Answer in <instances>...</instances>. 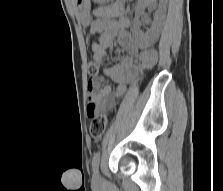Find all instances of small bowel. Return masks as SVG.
Masks as SVG:
<instances>
[{
    "mask_svg": "<svg viewBox=\"0 0 223 191\" xmlns=\"http://www.w3.org/2000/svg\"><path fill=\"white\" fill-rule=\"evenodd\" d=\"M119 12L118 6L97 8L95 14L97 18L92 22L90 32L92 35L98 34V43L92 45L94 60L101 65L108 54V49L114 46L117 38L120 47L127 55L117 64L103 68V72L112 81L118 84L115 92L110 85H104L99 91L98 88L102 78L91 79L88 83V107L96 110H107L114 102V98L123 94L126 90L127 81L133 77L136 70L135 59L140 61V68L148 69L155 65L157 61V51L155 49H143L128 31L129 21L125 18L114 19L113 16Z\"/></svg>",
    "mask_w": 223,
    "mask_h": 191,
    "instance_id": "c3829d8e",
    "label": "small bowel"
}]
</instances>
